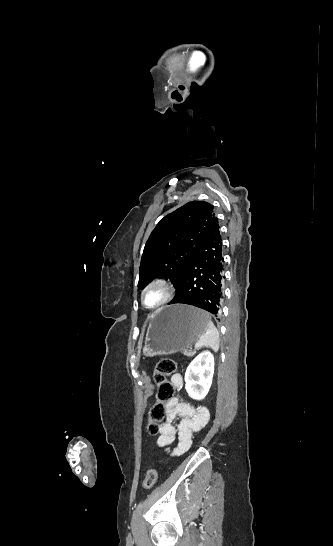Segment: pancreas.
<instances>
[{
    "instance_id": "1",
    "label": "pancreas",
    "mask_w": 333,
    "mask_h": 546,
    "mask_svg": "<svg viewBox=\"0 0 333 546\" xmlns=\"http://www.w3.org/2000/svg\"><path fill=\"white\" fill-rule=\"evenodd\" d=\"M181 353H182L183 355H185V356H188V357H191V356H193V354H194V352L189 351V350H187V349H182V350H181Z\"/></svg>"
}]
</instances>
